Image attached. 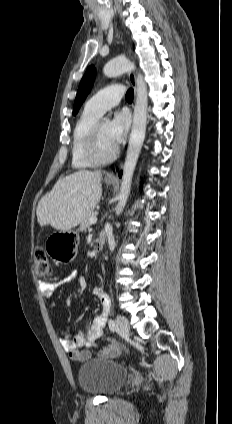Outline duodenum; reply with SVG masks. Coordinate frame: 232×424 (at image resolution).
<instances>
[{"mask_svg":"<svg viewBox=\"0 0 232 424\" xmlns=\"http://www.w3.org/2000/svg\"><path fill=\"white\" fill-rule=\"evenodd\" d=\"M105 244V235L100 233L95 241V250L100 251Z\"/></svg>","mask_w":232,"mask_h":424,"instance_id":"410a0bca","label":"duodenum"}]
</instances>
